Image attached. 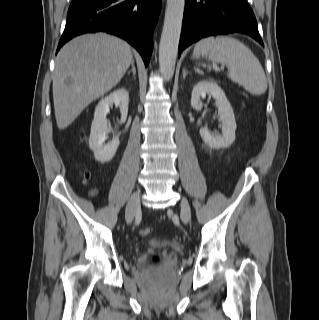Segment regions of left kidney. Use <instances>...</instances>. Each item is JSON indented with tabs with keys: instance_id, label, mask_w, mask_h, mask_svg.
<instances>
[{
	"instance_id": "5707ae66",
	"label": "left kidney",
	"mask_w": 319,
	"mask_h": 320,
	"mask_svg": "<svg viewBox=\"0 0 319 320\" xmlns=\"http://www.w3.org/2000/svg\"><path fill=\"white\" fill-rule=\"evenodd\" d=\"M206 95L212 96L218 107L220 119L223 122L222 135H212L206 128L200 129V136L203 141L213 149L227 148L235 140L236 121L233 109L226 98L224 91L214 81H199L192 90L191 106L196 110H201L203 104L201 98Z\"/></svg>"
}]
</instances>
